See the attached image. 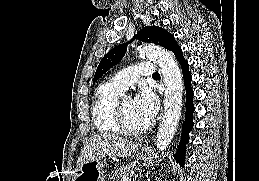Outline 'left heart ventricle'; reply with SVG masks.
<instances>
[{
	"label": "left heart ventricle",
	"instance_id": "obj_1",
	"mask_svg": "<svg viewBox=\"0 0 259 181\" xmlns=\"http://www.w3.org/2000/svg\"><path fill=\"white\" fill-rule=\"evenodd\" d=\"M123 109L128 122L133 126H143L148 122L137 112L135 101L131 97H126L122 101Z\"/></svg>",
	"mask_w": 259,
	"mask_h": 181
}]
</instances>
